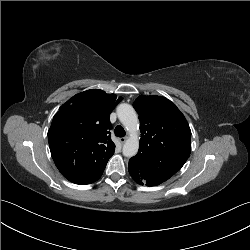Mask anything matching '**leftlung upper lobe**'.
<instances>
[{
    "label": "left lung upper lobe",
    "instance_id": "1",
    "mask_svg": "<svg viewBox=\"0 0 250 250\" xmlns=\"http://www.w3.org/2000/svg\"><path fill=\"white\" fill-rule=\"evenodd\" d=\"M140 120V153L158 166L180 170L191 152L184 115L165 97L140 95L133 103Z\"/></svg>",
    "mask_w": 250,
    "mask_h": 250
}]
</instances>
